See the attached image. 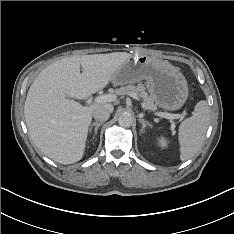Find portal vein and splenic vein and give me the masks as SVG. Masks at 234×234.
Here are the masks:
<instances>
[{"label":"portal vein and splenic vein","mask_w":234,"mask_h":234,"mask_svg":"<svg viewBox=\"0 0 234 234\" xmlns=\"http://www.w3.org/2000/svg\"><path fill=\"white\" fill-rule=\"evenodd\" d=\"M131 97H133L134 99H138V97L135 94H130ZM117 99V96L115 94H104V95H100L98 97H96L94 99L95 103H108V102H112L114 100ZM158 116L166 118V119H177V118H182V116L177 115V114H171V113H158Z\"/></svg>","instance_id":"1"}]
</instances>
